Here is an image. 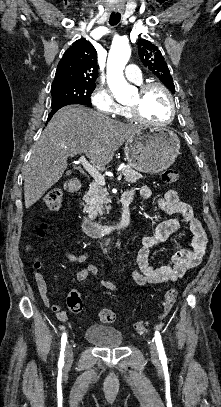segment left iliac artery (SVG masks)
<instances>
[{
  "label": "left iliac artery",
  "instance_id": "1",
  "mask_svg": "<svg viewBox=\"0 0 221 407\" xmlns=\"http://www.w3.org/2000/svg\"><path fill=\"white\" fill-rule=\"evenodd\" d=\"M155 342L157 345V350L159 352V359L161 360V362H167L166 354L164 351V347L162 344L161 335H160L159 331H155Z\"/></svg>",
  "mask_w": 221,
  "mask_h": 407
}]
</instances>
